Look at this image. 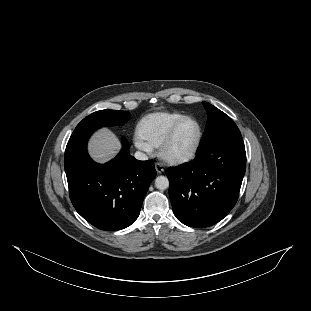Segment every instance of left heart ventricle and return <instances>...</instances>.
Masks as SVG:
<instances>
[{
	"label": "left heart ventricle",
	"instance_id": "left-heart-ventricle-1",
	"mask_svg": "<svg viewBox=\"0 0 311 311\" xmlns=\"http://www.w3.org/2000/svg\"><path fill=\"white\" fill-rule=\"evenodd\" d=\"M198 133L196 122L188 121L179 129L172 151L175 153H186L192 149L195 144Z\"/></svg>",
	"mask_w": 311,
	"mask_h": 311
}]
</instances>
